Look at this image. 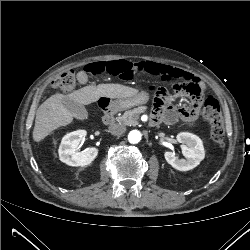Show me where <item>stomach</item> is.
Listing matches in <instances>:
<instances>
[{
	"mask_svg": "<svg viewBox=\"0 0 250 250\" xmlns=\"http://www.w3.org/2000/svg\"><path fill=\"white\" fill-rule=\"evenodd\" d=\"M149 100V94L145 91H142L134 96L120 98L114 102L117 108L126 109L131 108L137 105L145 104Z\"/></svg>",
	"mask_w": 250,
	"mask_h": 250,
	"instance_id": "stomach-1",
	"label": "stomach"
}]
</instances>
